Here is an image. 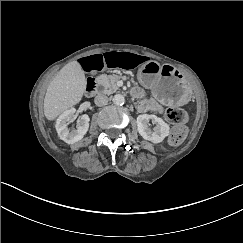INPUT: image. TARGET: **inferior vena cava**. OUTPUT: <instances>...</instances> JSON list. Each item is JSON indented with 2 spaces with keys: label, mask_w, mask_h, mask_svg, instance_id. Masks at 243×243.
Returning a JSON list of instances; mask_svg holds the SVG:
<instances>
[{
  "label": "inferior vena cava",
  "mask_w": 243,
  "mask_h": 243,
  "mask_svg": "<svg viewBox=\"0 0 243 243\" xmlns=\"http://www.w3.org/2000/svg\"><path fill=\"white\" fill-rule=\"evenodd\" d=\"M94 102L96 106H105L108 103V97L103 94H98L97 96H95Z\"/></svg>",
  "instance_id": "inferior-vena-cava-1"
}]
</instances>
